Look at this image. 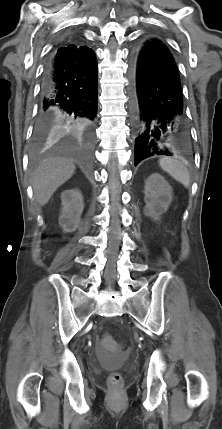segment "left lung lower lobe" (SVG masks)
Here are the masks:
<instances>
[{"mask_svg":"<svg viewBox=\"0 0 222 429\" xmlns=\"http://www.w3.org/2000/svg\"><path fill=\"white\" fill-rule=\"evenodd\" d=\"M135 166L153 155L189 150L180 76L169 49L156 38L137 44L130 59Z\"/></svg>","mask_w":222,"mask_h":429,"instance_id":"left-lung-lower-lobe-1","label":"left lung lower lobe"}]
</instances>
